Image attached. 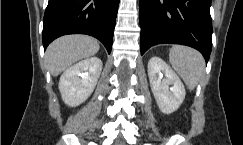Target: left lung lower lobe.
<instances>
[{
	"label": "left lung lower lobe",
	"mask_w": 243,
	"mask_h": 145,
	"mask_svg": "<svg viewBox=\"0 0 243 145\" xmlns=\"http://www.w3.org/2000/svg\"><path fill=\"white\" fill-rule=\"evenodd\" d=\"M211 0H140L141 55L156 44L199 50L208 62L212 49Z\"/></svg>",
	"instance_id": "0a47b994"
}]
</instances>
